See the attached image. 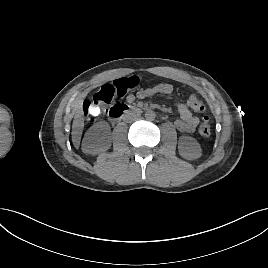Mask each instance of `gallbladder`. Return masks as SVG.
I'll return each mask as SVG.
<instances>
[{
    "label": "gallbladder",
    "mask_w": 268,
    "mask_h": 268,
    "mask_svg": "<svg viewBox=\"0 0 268 268\" xmlns=\"http://www.w3.org/2000/svg\"><path fill=\"white\" fill-rule=\"evenodd\" d=\"M89 110H90V113L91 114H94L95 115V114H98L99 113V110L100 109H99V106L98 105H95L94 104V105H91L90 106V109Z\"/></svg>",
    "instance_id": "bac80fb5"
}]
</instances>
